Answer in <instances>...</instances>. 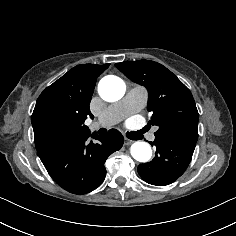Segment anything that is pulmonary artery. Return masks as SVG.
I'll return each instance as SVG.
<instances>
[{
    "mask_svg": "<svg viewBox=\"0 0 236 236\" xmlns=\"http://www.w3.org/2000/svg\"><path fill=\"white\" fill-rule=\"evenodd\" d=\"M135 90H136V89H135ZM133 92H134V91H133ZM133 92L130 94V96L134 94ZM109 110H112V108H110ZM119 121H120V119H119V118H116V119H114V120L109 124V126L115 125V124H117ZM100 126H104V125H103L100 121H94V122L91 123L90 128H91L92 130H94V129H97L98 127H100ZM148 138H149L151 141H154V140H155V135H154V133H153V132L149 133Z\"/></svg>",
    "mask_w": 236,
    "mask_h": 236,
    "instance_id": "pulmonary-artery-1",
    "label": "pulmonary artery"
}]
</instances>
